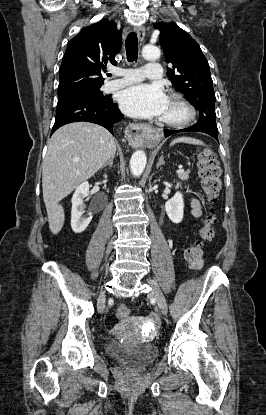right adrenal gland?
Here are the masks:
<instances>
[{
  "label": "right adrenal gland",
  "mask_w": 266,
  "mask_h": 415,
  "mask_svg": "<svg viewBox=\"0 0 266 415\" xmlns=\"http://www.w3.org/2000/svg\"><path fill=\"white\" fill-rule=\"evenodd\" d=\"M114 158H115V155H114L111 159H109V161H107V162H106V163L102 166V169H103V168H105V167H107V166L112 167Z\"/></svg>",
  "instance_id": "obj_1"
}]
</instances>
